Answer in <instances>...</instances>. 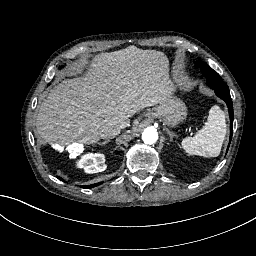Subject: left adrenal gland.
Returning a JSON list of instances; mask_svg holds the SVG:
<instances>
[{"mask_svg": "<svg viewBox=\"0 0 256 256\" xmlns=\"http://www.w3.org/2000/svg\"><path fill=\"white\" fill-rule=\"evenodd\" d=\"M168 135L170 137V141L172 142L174 138H178L176 134L172 133L170 130H167Z\"/></svg>", "mask_w": 256, "mask_h": 256, "instance_id": "1", "label": "left adrenal gland"}]
</instances>
